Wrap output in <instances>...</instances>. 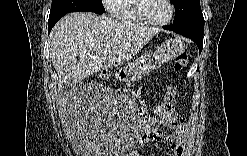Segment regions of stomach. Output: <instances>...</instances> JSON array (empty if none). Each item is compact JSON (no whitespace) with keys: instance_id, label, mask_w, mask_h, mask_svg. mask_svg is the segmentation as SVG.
<instances>
[{"instance_id":"obj_1","label":"stomach","mask_w":247,"mask_h":156,"mask_svg":"<svg viewBox=\"0 0 247 156\" xmlns=\"http://www.w3.org/2000/svg\"><path fill=\"white\" fill-rule=\"evenodd\" d=\"M186 48V45L181 39H168L155 52L144 54L136 62L145 68L148 72L160 68L165 63L171 61L180 55ZM134 63L124 68L126 77L130 75V69Z\"/></svg>"}]
</instances>
